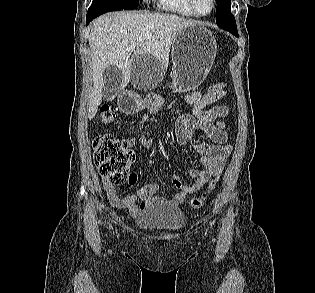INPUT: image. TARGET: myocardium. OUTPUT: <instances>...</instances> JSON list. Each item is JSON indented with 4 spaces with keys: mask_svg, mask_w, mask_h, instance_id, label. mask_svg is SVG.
<instances>
[{
    "mask_svg": "<svg viewBox=\"0 0 315 293\" xmlns=\"http://www.w3.org/2000/svg\"><path fill=\"white\" fill-rule=\"evenodd\" d=\"M189 2H190V6H191L192 10L195 12V14L197 16H200V17H206V16L210 15L216 7V0H211L212 6H211L210 11L207 13H202L198 9L197 0H189Z\"/></svg>",
    "mask_w": 315,
    "mask_h": 293,
    "instance_id": "myocardium-1",
    "label": "myocardium"
}]
</instances>
